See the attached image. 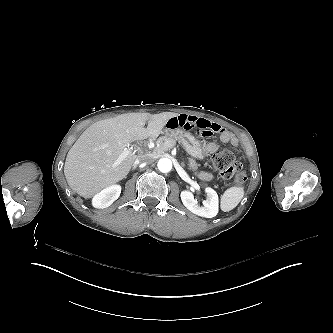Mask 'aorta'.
I'll return each mask as SVG.
<instances>
[{
    "mask_svg": "<svg viewBox=\"0 0 333 333\" xmlns=\"http://www.w3.org/2000/svg\"><path fill=\"white\" fill-rule=\"evenodd\" d=\"M157 166L162 173H167L172 169V161L168 158H161Z\"/></svg>",
    "mask_w": 333,
    "mask_h": 333,
    "instance_id": "aorta-1",
    "label": "aorta"
}]
</instances>
